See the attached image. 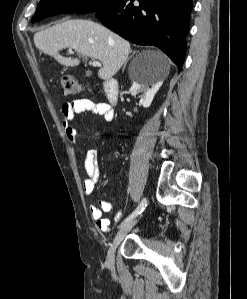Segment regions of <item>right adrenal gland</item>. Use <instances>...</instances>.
<instances>
[{"mask_svg":"<svg viewBox=\"0 0 247 299\" xmlns=\"http://www.w3.org/2000/svg\"><path fill=\"white\" fill-rule=\"evenodd\" d=\"M134 53H135V52L133 51V52H132V55H133ZM132 55H131L130 57H132Z\"/></svg>","mask_w":247,"mask_h":299,"instance_id":"right-adrenal-gland-1","label":"right adrenal gland"}]
</instances>
